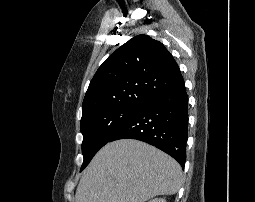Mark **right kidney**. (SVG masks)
Wrapping results in <instances>:
<instances>
[{
    "mask_svg": "<svg viewBox=\"0 0 255 202\" xmlns=\"http://www.w3.org/2000/svg\"><path fill=\"white\" fill-rule=\"evenodd\" d=\"M149 202H166V200L163 198H159V199L155 198V199L150 200Z\"/></svg>",
    "mask_w": 255,
    "mask_h": 202,
    "instance_id": "right-kidney-1",
    "label": "right kidney"
}]
</instances>
